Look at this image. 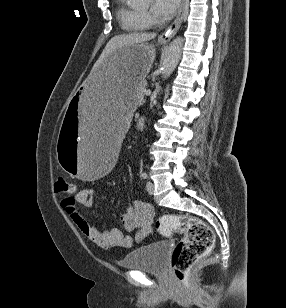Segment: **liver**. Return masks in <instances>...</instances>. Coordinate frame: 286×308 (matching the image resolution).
Returning <instances> with one entry per match:
<instances>
[{
  "mask_svg": "<svg viewBox=\"0 0 286 308\" xmlns=\"http://www.w3.org/2000/svg\"><path fill=\"white\" fill-rule=\"evenodd\" d=\"M156 37L155 33H130L124 35L114 36L106 45L99 59L94 64L92 71H95L97 67L104 61L113 51L126 47L128 45L140 44L150 41Z\"/></svg>",
  "mask_w": 286,
  "mask_h": 308,
  "instance_id": "1",
  "label": "liver"
}]
</instances>
